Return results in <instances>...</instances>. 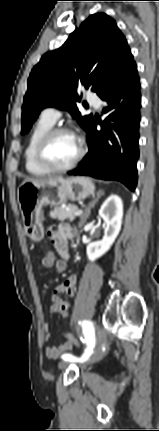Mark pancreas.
I'll use <instances>...</instances> for the list:
<instances>
[{
	"instance_id": "pancreas-1",
	"label": "pancreas",
	"mask_w": 159,
	"mask_h": 431,
	"mask_svg": "<svg viewBox=\"0 0 159 431\" xmlns=\"http://www.w3.org/2000/svg\"><path fill=\"white\" fill-rule=\"evenodd\" d=\"M78 210V207L73 204H67L65 206L55 207L50 212V217L52 219H57L59 221L70 220L73 221L75 219V211Z\"/></svg>"
}]
</instances>
